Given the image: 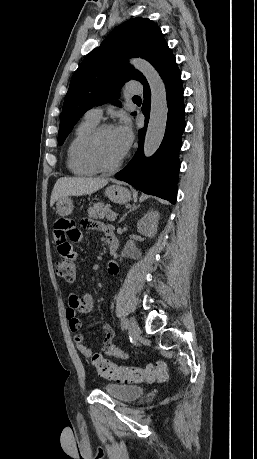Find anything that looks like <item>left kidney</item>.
<instances>
[{
    "mask_svg": "<svg viewBox=\"0 0 257 459\" xmlns=\"http://www.w3.org/2000/svg\"><path fill=\"white\" fill-rule=\"evenodd\" d=\"M158 220L159 212H148L137 223L138 232L150 238L154 237L157 233Z\"/></svg>",
    "mask_w": 257,
    "mask_h": 459,
    "instance_id": "obj_1",
    "label": "left kidney"
}]
</instances>
